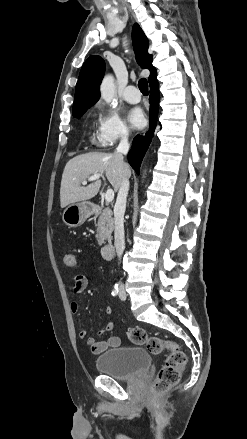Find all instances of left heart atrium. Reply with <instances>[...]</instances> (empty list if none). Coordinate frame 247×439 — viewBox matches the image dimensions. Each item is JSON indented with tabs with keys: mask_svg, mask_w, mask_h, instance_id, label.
<instances>
[{
	"mask_svg": "<svg viewBox=\"0 0 247 439\" xmlns=\"http://www.w3.org/2000/svg\"><path fill=\"white\" fill-rule=\"evenodd\" d=\"M128 121L133 128H142L145 125V117L140 108H133L128 112Z\"/></svg>",
	"mask_w": 247,
	"mask_h": 439,
	"instance_id": "left-heart-atrium-1",
	"label": "left heart atrium"
}]
</instances>
